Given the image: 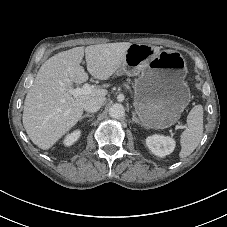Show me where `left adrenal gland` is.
<instances>
[{
	"mask_svg": "<svg viewBox=\"0 0 227 227\" xmlns=\"http://www.w3.org/2000/svg\"><path fill=\"white\" fill-rule=\"evenodd\" d=\"M132 121L139 124V121H138L134 111L132 112Z\"/></svg>",
	"mask_w": 227,
	"mask_h": 227,
	"instance_id": "obj_1",
	"label": "left adrenal gland"
}]
</instances>
